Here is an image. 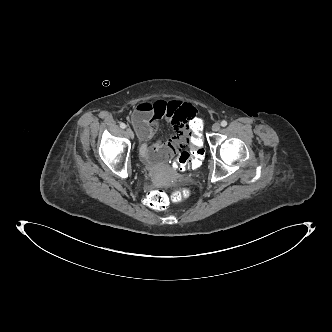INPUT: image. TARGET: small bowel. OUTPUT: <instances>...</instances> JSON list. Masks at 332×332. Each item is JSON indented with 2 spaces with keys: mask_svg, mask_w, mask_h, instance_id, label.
<instances>
[{
  "mask_svg": "<svg viewBox=\"0 0 332 332\" xmlns=\"http://www.w3.org/2000/svg\"><path fill=\"white\" fill-rule=\"evenodd\" d=\"M193 117H198L195 106L181 100L159 99L140 102L132 114V123L141 140L140 154L143 159L160 162L179 155L190 137L189 121ZM162 120L172 125L173 135L168 140L149 144Z\"/></svg>",
  "mask_w": 332,
  "mask_h": 332,
  "instance_id": "1",
  "label": "small bowel"
}]
</instances>
